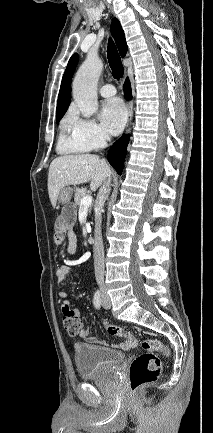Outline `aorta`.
<instances>
[{
  "label": "aorta",
  "mask_w": 213,
  "mask_h": 433,
  "mask_svg": "<svg viewBox=\"0 0 213 433\" xmlns=\"http://www.w3.org/2000/svg\"><path fill=\"white\" fill-rule=\"evenodd\" d=\"M102 69V60L90 53L74 78L73 98L85 118L91 117L98 109L97 83Z\"/></svg>",
  "instance_id": "1"
}]
</instances>
